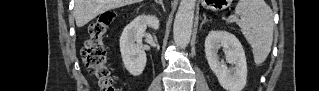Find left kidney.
<instances>
[{"mask_svg":"<svg viewBox=\"0 0 319 91\" xmlns=\"http://www.w3.org/2000/svg\"><path fill=\"white\" fill-rule=\"evenodd\" d=\"M223 48L228 68L219 59L218 51ZM205 55L210 69L217 76L220 85L227 91H242L247 83V62L245 52L238 38L229 32L212 30L205 39Z\"/></svg>","mask_w":319,"mask_h":91,"instance_id":"obj_1","label":"left kidney"}]
</instances>
